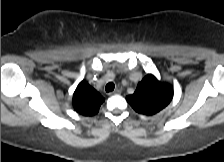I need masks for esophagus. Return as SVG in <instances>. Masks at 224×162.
<instances>
[{
  "instance_id": "esophagus-1",
  "label": "esophagus",
  "mask_w": 224,
  "mask_h": 162,
  "mask_svg": "<svg viewBox=\"0 0 224 162\" xmlns=\"http://www.w3.org/2000/svg\"><path fill=\"white\" fill-rule=\"evenodd\" d=\"M121 93V89L120 88H117L115 89L113 92H110L108 95H116V94H120Z\"/></svg>"
}]
</instances>
